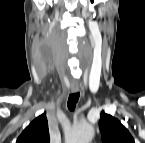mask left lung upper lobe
Here are the masks:
<instances>
[{
  "label": "left lung upper lobe",
  "mask_w": 145,
  "mask_h": 143,
  "mask_svg": "<svg viewBox=\"0 0 145 143\" xmlns=\"http://www.w3.org/2000/svg\"><path fill=\"white\" fill-rule=\"evenodd\" d=\"M99 128L102 143H135L133 137L121 122L109 114L101 113Z\"/></svg>",
  "instance_id": "left-lung-upper-lobe-1"
}]
</instances>
